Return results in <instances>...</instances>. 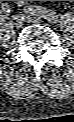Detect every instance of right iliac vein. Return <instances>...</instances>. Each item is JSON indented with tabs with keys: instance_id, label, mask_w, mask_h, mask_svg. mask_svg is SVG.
<instances>
[{
	"instance_id": "63e3f726",
	"label": "right iliac vein",
	"mask_w": 74,
	"mask_h": 122,
	"mask_svg": "<svg viewBox=\"0 0 74 122\" xmlns=\"http://www.w3.org/2000/svg\"><path fill=\"white\" fill-rule=\"evenodd\" d=\"M13 24L16 28L22 27V19L20 17H13Z\"/></svg>"
}]
</instances>
